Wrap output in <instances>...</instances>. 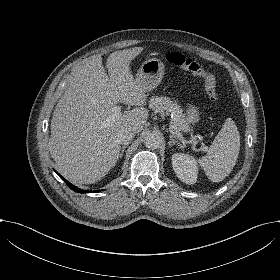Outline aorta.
I'll list each match as a JSON object with an SVG mask.
<instances>
[{
    "mask_svg": "<svg viewBox=\"0 0 280 280\" xmlns=\"http://www.w3.org/2000/svg\"><path fill=\"white\" fill-rule=\"evenodd\" d=\"M145 146L149 149H157L162 144L161 137L156 133H146L144 136Z\"/></svg>",
    "mask_w": 280,
    "mask_h": 280,
    "instance_id": "aorta-1",
    "label": "aorta"
}]
</instances>
